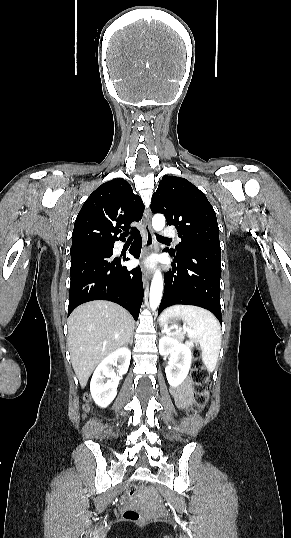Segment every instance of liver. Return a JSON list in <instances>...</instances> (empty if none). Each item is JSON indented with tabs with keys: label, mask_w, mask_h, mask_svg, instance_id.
I'll list each match as a JSON object with an SVG mask.
<instances>
[{
	"label": "liver",
	"mask_w": 291,
	"mask_h": 538,
	"mask_svg": "<svg viewBox=\"0 0 291 538\" xmlns=\"http://www.w3.org/2000/svg\"><path fill=\"white\" fill-rule=\"evenodd\" d=\"M67 343L80 386L114 350L128 344L134 331L132 316L121 306L92 301L77 307L68 318Z\"/></svg>",
	"instance_id": "liver-1"
}]
</instances>
